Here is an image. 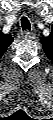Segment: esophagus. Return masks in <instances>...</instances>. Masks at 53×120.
<instances>
[{"instance_id":"34e87169","label":"esophagus","mask_w":53,"mask_h":120,"mask_svg":"<svg viewBox=\"0 0 53 120\" xmlns=\"http://www.w3.org/2000/svg\"><path fill=\"white\" fill-rule=\"evenodd\" d=\"M21 38H23V39H34L35 35L32 32L27 30V31H24V32L21 33Z\"/></svg>"}]
</instances>
